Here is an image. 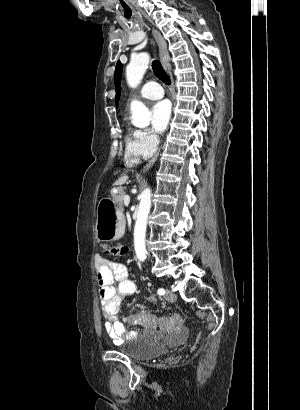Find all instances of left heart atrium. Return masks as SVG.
<instances>
[{
	"instance_id": "obj_1",
	"label": "left heart atrium",
	"mask_w": 300,
	"mask_h": 410,
	"mask_svg": "<svg viewBox=\"0 0 300 410\" xmlns=\"http://www.w3.org/2000/svg\"><path fill=\"white\" fill-rule=\"evenodd\" d=\"M171 119V105L163 100L156 103L152 108V124L158 133H163Z\"/></svg>"
}]
</instances>
